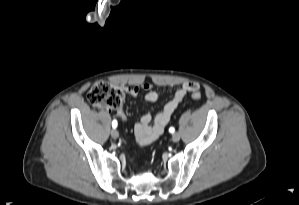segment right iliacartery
<instances>
[{"label":"right iliac artery","mask_w":299,"mask_h":205,"mask_svg":"<svg viewBox=\"0 0 299 205\" xmlns=\"http://www.w3.org/2000/svg\"><path fill=\"white\" fill-rule=\"evenodd\" d=\"M112 127L115 129L117 127V121L116 120H113L112 122Z\"/></svg>","instance_id":"obj_1"}]
</instances>
